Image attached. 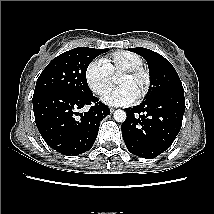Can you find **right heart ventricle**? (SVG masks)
I'll use <instances>...</instances> for the list:
<instances>
[{
  "label": "right heart ventricle",
  "mask_w": 214,
  "mask_h": 214,
  "mask_svg": "<svg viewBox=\"0 0 214 214\" xmlns=\"http://www.w3.org/2000/svg\"><path fill=\"white\" fill-rule=\"evenodd\" d=\"M102 60L112 75L120 74L126 69L143 64V59L140 55L125 50L115 51L108 58Z\"/></svg>",
  "instance_id": "1"
}]
</instances>
